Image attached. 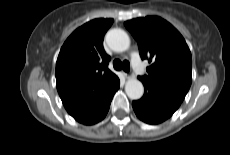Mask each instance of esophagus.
Masks as SVG:
<instances>
[{
    "mask_svg": "<svg viewBox=\"0 0 230 155\" xmlns=\"http://www.w3.org/2000/svg\"><path fill=\"white\" fill-rule=\"evenodd\" d=\"M124 75H125V77L127 78V79H131V78H134V73L133 72H128V73H124Z\"/></svg>",
    "mask_w": 230,
    "mask_h": 155,
    "instance_id": "34e87169",
    "label": "esophagus"
}]
</instances>
